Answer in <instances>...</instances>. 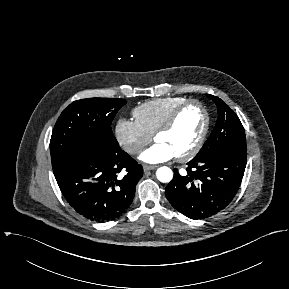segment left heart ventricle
<instances>
[{
  "instance_id": "b2bd125f",
  "label": "left heart ventricle",
  "mask_w": 289,
  "mask_h": 289,
  "mask_svg": "<svg viewBox=\"0 0 289 289\" xmlns=\"http://www.w3.org/2000/svg\"><path fill=\"white\" fill-rule=\"evenodd\" d=\"M204 125L202 110L191 105L179 116L174 127L167 133L160 134L156 142L168 146L175 156L184 154L196 143Z\"/></svg>"
}]
</instances>
